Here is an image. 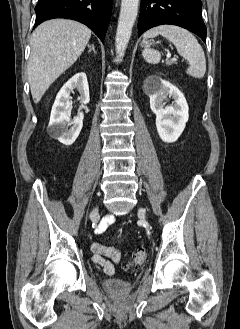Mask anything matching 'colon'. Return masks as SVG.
Wrapping results in <instances>:
<instances>
[{
    "label": "colon",
    "mask_w": 240,
    "mask_h": 329,
    "mask_svg": "<svg viewBox=\"0 0 240 329\" xmlns=\"http://www.w3.org/2000/svg\"><path fill=\"white\" fill-rule=\"evenodd\" d=\"M146 260V253L144 251H139L135 253L128 261L127 267L133 270L141 266Z\"/></svg>",
    "instance_id": "obj_1"
}]
</instances>
